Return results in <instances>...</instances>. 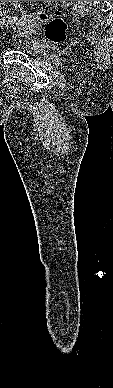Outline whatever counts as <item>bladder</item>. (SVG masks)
<instances>
[{
	"instance_id": "obj_1",
	"label": "bladder",
	"mask_w": 113,
	"mask_h": 388,
	"mask_svg": "<svg viewBox=\"0 0 113 388\" xmlns=\"http://www.w3.org/2000/svg\"><path fill=\"white\" fill-rule=\"evenodd\" d=\"M34 27V20L29 18L21 22L18 26V29L22 34H28L34 29ZM44 50L45 46L42 43L36 41L28 42L25 46V51L32 56H40L44 53Z\"/></svg>"
}]
</instances>
